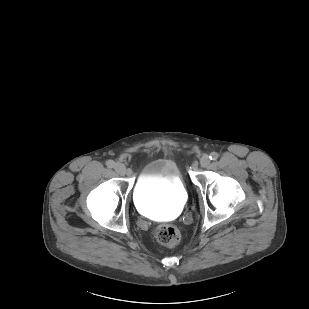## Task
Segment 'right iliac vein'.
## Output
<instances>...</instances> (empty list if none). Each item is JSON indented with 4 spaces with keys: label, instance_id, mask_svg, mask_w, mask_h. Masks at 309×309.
I'll use <instances>...</instances> for the list:
<instances>
[{
    "label": "right iliac vein",
    "instance_id": "1",
    "mask_svg": "<svg viewBox=\"0 0 309 309\" xmlns=\"http://www.w3.org/2000/svg\"><path fill=\"white\" fill-rule=\"evenodd\" d=\"M114 170H115V172H116L117 174H119V175H121V176H123V175L126 174V167H125V165L122 164V163H116V164L114 165Z\"/></svg>",
    "mask_w": 309,
    "mask_h": 309
}]
</instances>
